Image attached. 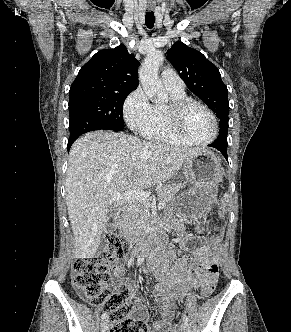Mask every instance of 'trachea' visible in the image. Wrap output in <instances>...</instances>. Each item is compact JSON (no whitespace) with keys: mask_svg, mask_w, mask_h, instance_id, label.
<instances>
[{"mask_svg":"<svg viewBox=\"0 0 291 332\" xmlns=\"http://www.w3.org/2000/svg\"><path fill=\"white\" fill-rule=\"evenodd\" d=\"M154 23H155L154 12L153 11L147 12L146 15H145V24H146V26L149 29H151V28H153Z\"/></svg>","mask_w":291,"mask_h":332,"instance_id":"obj_1","label":"trachea"}]
</instances>
